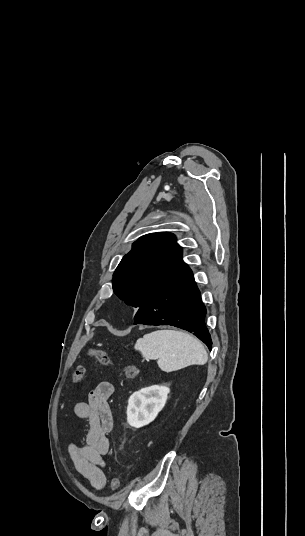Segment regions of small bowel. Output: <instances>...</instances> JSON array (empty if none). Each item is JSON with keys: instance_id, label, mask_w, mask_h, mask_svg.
<instances>
[{"instance_id": "obj_1", "label": "small bowel", "mask_w": 305, "mask_h": 536, "mask_svg": "<svg viewBox=\"0 0 305 536\" xmlns=\"http://www.w3.org/2000/svg\"><path fill=\"white\" fill-rule=\"evenodd\" d=\"M113 393V384L102 381L89 393L86 402L75 405L76 416L87 421L89 430L84 444L71 442L68 446L77 472L97 490L106 484L103 456L109 450L108 434L112 428L109 399Z\"/></svg>"}]
</instances>
